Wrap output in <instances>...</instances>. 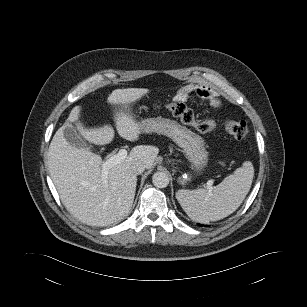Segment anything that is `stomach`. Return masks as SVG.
I'll list each match as a JSON object with an SVG mask.
<instances>
[{"instance_id": "1", "label": "stomach", "mask_w": 307, "mask_h": 307, "mask_svg": "<svg viewBox=\"0 0 307 307\" xmlns=\"http://www.w3.org/2000/svg\"><path fill=\"white\" fill-rule=\"evenodd\" d=\"M141 132L159 133L170 137L181 147L191 165L192 173L179 178L181 184L190 181L192 176L201 174L207 167L209 153L201 136L181 126L177 122L160 117L148 118L139 122Z\"/></svg>"}]
</instances>
